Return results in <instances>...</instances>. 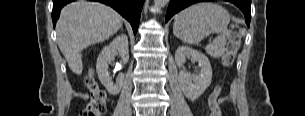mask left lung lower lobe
Listing matches in <instances>:
<instances>
[{
  "label": "left lung lower lobe",
  "instance_id": "obj_1",
  "mask_svg": "<svg viewBox=\"0 0 305 116\" xmlns=\"http://www.w3.org/2000/svg\"><path fill=\"white\" fill-rule=\"evenodd\" d=\"M206 0H171L167 9L166 22L180 10L188 7L189 5L197 2H202ZM236 6H238L245 15L246 23L249 26L251 14H250V5L251 0H229Z\"/></svg>",
  "mask_w": 305,
  "mask_h": 116
}]
</instances>
